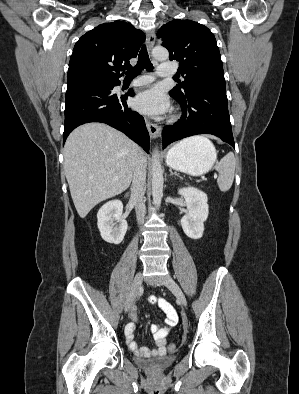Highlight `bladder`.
Listing matches in <instances>:
<instances>
[{"label":"bladder","mask_w":299,"mask_h":394,"mask_svg":"<svg viewBox=\"0 0 299 394\" xmlns=\"http://www.w3.org/2000/svg\"><path fill=\"white\" fill-rule=\"evenodd\" d=\"M176 357L174 355L160 356L152 359H137L136 363L143 369L160 372L171 366Z\"/></svg>","instance_id":"31cf9c89"}]
</instances>
